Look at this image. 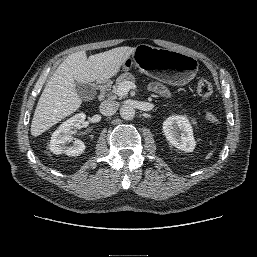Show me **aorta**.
<instances>
[{
	"label": "aorta",
	"instance_id": "1",
	"mask_svg": "<svg viewBox=\"0 0 257 257\" xmlns=\"http://www.w3.org/2000/svg\"><path fill=\"white\" fill-rule=\"evenodd\" d=\"M120 116L124 120H132L135 116V109L131 105H123L120 108Z\"/></svg>",
	"mask_w": 257,
	"mask_h": 257
}]
</instances>
